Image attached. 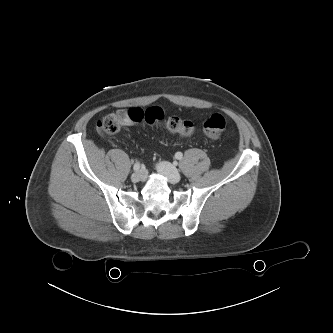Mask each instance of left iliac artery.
<instances>
[{"instance_id":"obj_1","label":"left iliac artery","mask_w":333,"mask_h":333,"mask_svg":"<svg viewBox=\"0 0 333 333\" xmlns=\"http://www.w3.org/2000/svg\"><path fill=\"white\" fill-rule=\"evenodd\" d=\"M182 157H183V154H182L181 152H177V153L175 154V158L178 159V160H181Z\"/></svg>"}]
</instances>
